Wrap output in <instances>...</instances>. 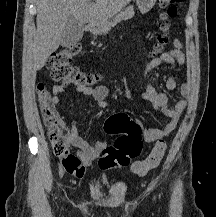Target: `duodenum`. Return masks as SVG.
Instances as JSON below:
<instances>
[{
  "instance_id": "410a0bca",
  "label": "duodenum",
  "mask_w": 216,
  "mask_h": 217,
  "mask_svg": "<svg viewBox=\"0 0 216 217\" xmlns=\"http://www.w3.org/2000/svg\"><path fill=\"white\" fill-rule=\"evenodd\" d=\"M93 28H94V25L92 23H90L86 26V29L89 31L93 30Z\"/></svg>"
}]
</instances>
